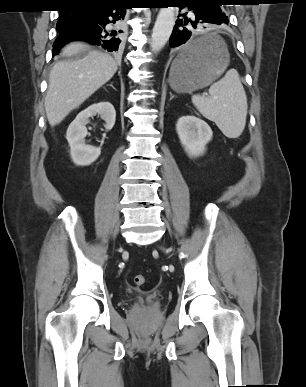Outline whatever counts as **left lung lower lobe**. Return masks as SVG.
<instances>
[{
  "label": "left lung lower lobe",
  "mask_w": 306,
  "mask_h": 387,
  "mask_svg": "<svg viewBox=\"0 0 306 387\" xmlns=\"http://www.w3.org/2000/svg\"><path fill=\"white\" fill-rule=\"evenodd\" d=\"M188 7L191 11L192 18L185 17L187 13L181 14V19H177L173 32L170 37V46H182V61L188 62L194 57L202 55L207 49L206 44L191 45L189 41L192 31L187 25H192L196 28L198 24H216L224 27L228 24L227 17L224 16L220 5L214 2H199L195 0L180 1V9Z\"/></svg>",
  "instance_id": "1"
}]
</instances>
